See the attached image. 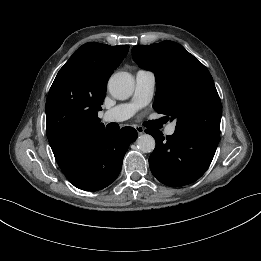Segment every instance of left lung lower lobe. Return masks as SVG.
<instances>
[{
	"mask_svg": "<svg viewBox=\"0 0 261 261\" xmlns=\"http://www.w3.org/2000/svg\"><path fill=\"white\" fill-rule=\"evenodd\" d=\"M156 147L149 157L153 175L163 184L178 187L199 179L208 169L220 137L174 132L163 137L159 130L147 129Z\"/></svg>",
	"mask_w": 261,
	"mask_h": 261,
	"instance_id": "left-lung-lower-lobe-1",
	"label": "left lung lower lobe"
}]
</instances>
